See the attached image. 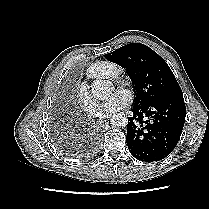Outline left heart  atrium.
I'll list each match as a JSON object with an SVG mask.
<instances>
[{"instance_id":"left-heart-atrium-1","label":"left heart atrium","mask_w":209,"mask_h":209,"mask_svg":"<svg viewBox=\"0 0 209 209\" xmlns=\"http://www.w3.org/2000/svg\"><path fill=\"white\" fill-rule=\"evenodd\" d=\"M130 101L126 92H116L109 100L104 102L98 111L100 117H109L128 105Z\"/></svg>"}]
</instances>
